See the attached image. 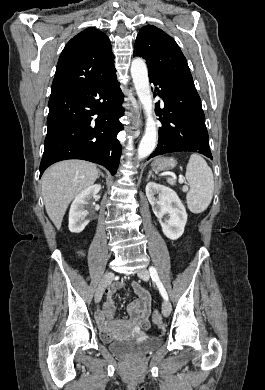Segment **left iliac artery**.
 <instances>
[{
    "instance_id": "1",
    "label": "left iliac artery",
    "mask_w": 265,
    "mask_h": 390,
    "mask_svg": "<svg viewBox=\"0 0 265 390\" xmlns=\"http://www.w3.org/2000/svg\"><path fill=\"white\" fill-rule=\"evenodd\" d=\"M149 272H150V276H151L152 280L156 282V284H157V286L159 288V291H160L161 295L163 296V298L165 300H168L167 292H166L162 282L159 279V276H158V273H157L156 269L153 266H151L149 268Z\"/></svg>"
}]
</instances>
